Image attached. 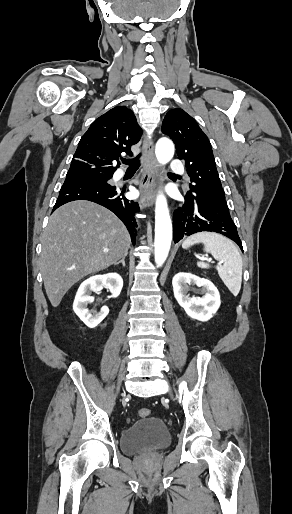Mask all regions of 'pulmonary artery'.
<instances>
[{
	"label": "pulmonary artery",
	"mask_w": 292,
	"mask_h": 514,
	"mask_svg": "<svg viewBox=\"0 0 292 514\" xmlns=\"http://www.w3.org/2000/svg\"><path fill=\"white\" fill-rule=\"evenodd\" d=\"M184 168V165L181 161H173L171 164H170V169L173 171V172H181Z\"/></svg>",
	"instance_id": "obj_1"
}]
</instances>
